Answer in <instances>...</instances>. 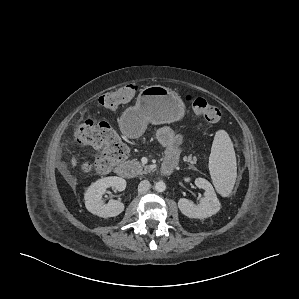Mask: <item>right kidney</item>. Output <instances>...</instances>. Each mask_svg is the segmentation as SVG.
Returning <instances> with one entry per match:
<instances>
[{"instance_id": "obj_1", "label": "right kidney", "mask_w": 299, "mask_h": 299, "mask_svg": "<svg viewBox=\"0 0 299 299\" xmlns=\"http://www.w3.org/2000/svg\"><path fill=\"white\" fill-rule=\"evenodd\" d=\"M109 187L123 191L126 188V181L117 176H110L92 183L84 194L85 206L89 212L108 218L116 217L124 211V204L120 201L110 200L107 204L103 202L102 195Z\"/></svg>"}]
</instances>
